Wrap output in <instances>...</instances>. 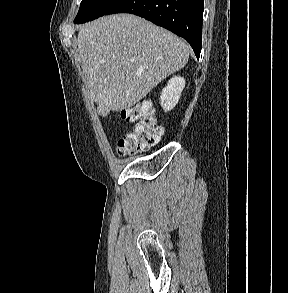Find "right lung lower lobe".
<instances>
[{
    "label": "right lung lower lobe",
    "mask_w": 288,
    "mask_h": 293,
    "mask_svg": "<svg viewBox=\"0 0 288 293\" xmlns=\"http://www.w3.org/2000/svg\"><path fill=\"white\" fill-rule=\"evenodd\" d=\"M203 0H121L105 15L131 13L183 37L197 58L202 48Z\"/></svg>",
    "instance_id": "obj_1"
}]
</instances>
